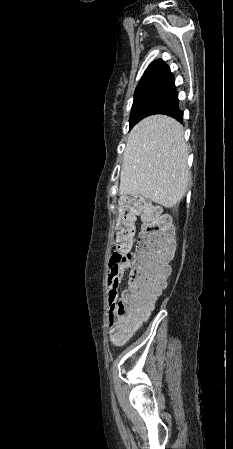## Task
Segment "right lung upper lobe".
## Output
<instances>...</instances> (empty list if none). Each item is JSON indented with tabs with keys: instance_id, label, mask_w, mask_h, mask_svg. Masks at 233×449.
<instances>
[{
	"instance_id": "obj_1",
	"label": "right lung upper lobe",
	"mask_w": 233,
	"mask_h": 449,
	"mask_svg": "<svg viewBox=\"0 0 233 449\" xmlns=\"http://www.w3.org/2000/svg\"><path fill=\"white\" fill-rule=\"evenodd\" d=\"M151 90H176L173 74L161 59L152 62L139 81L135 94Z\"/></svg>"
}]
</instances>
